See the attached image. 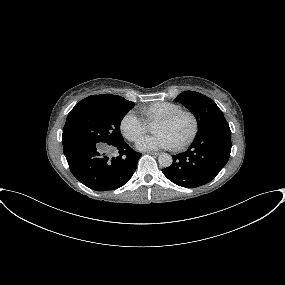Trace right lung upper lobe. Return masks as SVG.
<instances>
[{"label": "right lung upper lobe", "instance_id": "1", "mask_svg": "<svg viewBox=\"0 0 285 285\" xmlns=\"http://www.w3.org/2000/svg\"><path fill=\"white\" fill-rule=\"evenodd\" d=\"M113 97H118L117 95H112V94H101V95H92L89 96L85 99H83L80 102H85V101H93V100H105V99H110Z\"/></svg>", "mask_w": 285, "mask_h": 285}]
</instances>
